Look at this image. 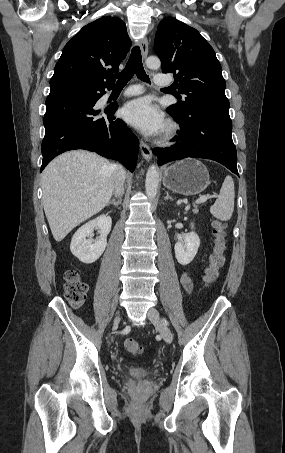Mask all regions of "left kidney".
Returning a JSON list of instances; mask_svg holds the SVG:
<instances>
[{
  "label": "left kidney",
  "mask_w": 285,
  "mask_h": 453,
  "mask_svg": "<svg viewBox=\"0 0 285 453\" xmlns=\"http://www.w3.org/2000/svg\"><path fill=\"white\" fill-rule=\"evenodd\" d=\"M191 228H194V224H191ZM199 246L200 238L194 231L182 236L174 247L177 261L181 265H188L196 256Z\"/></svg>",
  "instance_id": "5707ae66"
}]
</instances>
